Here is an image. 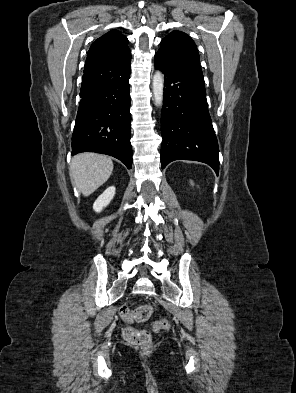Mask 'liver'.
<instances>
[{"label":"liver","mask_w":296,"mask_h":393,"mask_svg":"<svg viewBox=\"0 0 296 393\" xmlns=\"http://www.w3.org/2000/svg\"><path fill=\"white\" fill-rule=\"evenodd\" d=\"M112 171V160L95 153L78 154L70 163L71 182L84 196H89L103 185Z\"/></svg>","instance_id":"liver-1"}]
</instances>
